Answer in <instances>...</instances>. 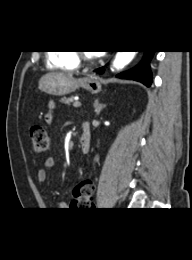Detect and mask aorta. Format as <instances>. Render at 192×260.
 Returning <instances> with one entry per match:
<instances>
[{
	"label": "aorta",
	"mask_w": 192,
	"mask_h": 260,
	"mask_svg": "<svg viewBox=\"0 0 192 260\" xmlns=\"http://www.w3.org/2000/svg\"><path fill=\"white\" fill-rule=\"evenodd\" d=\"M136 55V51H118L113 61V67L117 70L128 65Z\"/></svg>",
	"instance_id": "aorta-1"
}]
</instances>
